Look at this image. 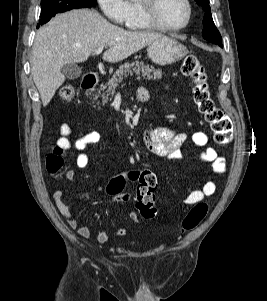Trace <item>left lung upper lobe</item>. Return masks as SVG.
Returning a JSON list of instances; mask_svg holds the SVG:
<instances>
[{"label":"left lung upper lobe","instance_id":"obj_1","mask_svg":"<svg viewBox=\"0 0 267 301\" xmlns=\"http://www.w3.org/2000/svg\"><path fill=\"white\" fill-rule=\"evenodd\" d=\"M196 3L203 8L205 11L204 18H203V26L204 29L202 31L203 38L208 40L211 43L217 44L219 46H222V38L221 35L216 28L212 15H211V9L209 6V0H196Z\"/></svg>","mask_w":267,"mask_h":301}]
</instances>
